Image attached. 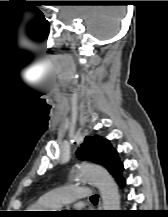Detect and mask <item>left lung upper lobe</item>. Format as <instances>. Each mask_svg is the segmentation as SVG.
Segmentation results:
<instances>
[{"label": "left lung upper lobe", "mask_w": 168, "mask_h": 217, "mask_svg": "<svg viewBox=\"0 0 168 217\" xmlns=\"http://www.w3.org/2000/svg\"><path fill=\"white\" fill-rule=\"evenodd\" d=\"M79 159H86L105 166L117 179L121 176L123 164L118 158L117 151L111 147L107 139L96 136H87L77 150Z\"/></svg>", "instance_id": "left-lung-upper-lobe-1"}]
</instances>
